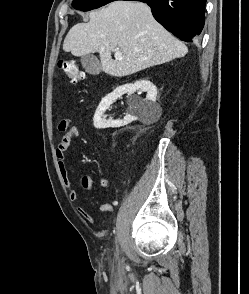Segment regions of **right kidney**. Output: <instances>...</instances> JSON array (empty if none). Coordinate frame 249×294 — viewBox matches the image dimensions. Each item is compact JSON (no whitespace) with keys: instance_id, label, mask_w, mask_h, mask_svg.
Wrapping results in <instances>:
<instances>
[{"instance_id":"1","label":"right kidney","mask_w":249,"mask_h":294,"mask_svg":"<svg viewBox=\"0 0 249 294\" xmlns=\"http://www.w3.org/2000/svg\"><path fill=\"white\" fill-rule=\"evenodd\" d=\"M140 89L147 92L146 98L141 99L134 97L129 101V111L123 120H107L104 117V112L110 105L120 96L125 93L132 94ZM157 88L148 79H141L134 84L128 83L117 87L112 93L105 96L96 109L93 121L97 129L117 128L127 125L135 120L141 122H155L161 115L160 105L156 103Z\"/></svg>"}]
</instances>
